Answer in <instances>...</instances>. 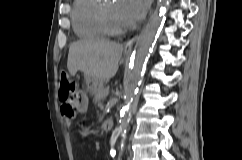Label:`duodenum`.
Here are the masks:
<instances>
[{"label":"duodenum","instance_id":"obj_1","mask_svg":"<svg viewBox=\"0 0 242 160\" xmlns=\"http://www.w3.org/2000/svg\"><path fill=\"white\" fill-rule=\"evenodd\" d=\"M102 127L104 131H110L113 128V121L110 119H106Z\"/></svg>","mask_w":242,"mask_h":160}]
</instances>
